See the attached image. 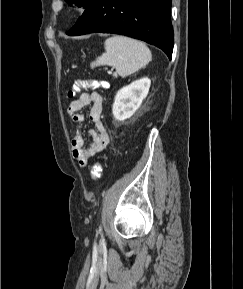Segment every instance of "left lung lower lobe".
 Listing matches in <instances>:
<instances>
[{
    "label": "left lung lower lobe",
    "instance_id": "0a47b994",
    "mask_svg": "<svg viewBox=\"0 0 243 289\" xmlns=\"http://www.w3.org/2000/svg\"><path fill=\"white\" fill-rule=\"evenodd\" d=\"M170 11L171 0H92L66 34L126 35L159 47L171 59L174 34Z\"/></svg>",
    "mask_w": 243,
    "mask_h": 289
}]
</instances>
